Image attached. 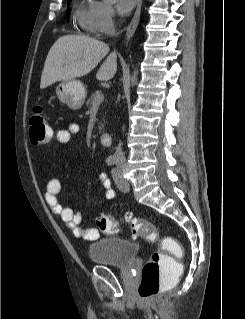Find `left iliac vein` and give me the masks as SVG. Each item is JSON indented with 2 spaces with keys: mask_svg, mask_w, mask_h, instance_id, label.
Segmentation results:
<instances>
[{
  "mask_svg": "<svg viewBox=\"0 0 245 319\" xmlns=\"http://www.w3.org/2000/svg\"><path fill=\"white\" fill-rule=\"evenodd\" d=\"M123 168H124V165H121V164L118 165V169L117 170L119 172V181L123 185V189H121V190L128 191L130 187H129L128 180L122 174Z\"/></svg>",
  "mask_w": 245,
  "mask_h": 319,
  "instance_id": "1",
  "label": "left iliac vein"
}]
</instances>
